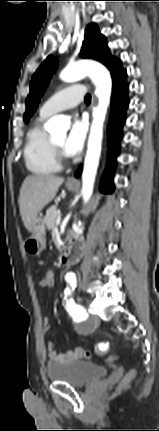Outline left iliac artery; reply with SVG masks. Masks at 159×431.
<instances>
[{
  "label": "left iliac artery",
  "instance_id": "44dca946",
  "mask_svg": "<svg viewBox=\"0 0 159 431\" xmlns=\"http://www.w3.org/2000/svg\"><path fill=\"white\" fill-rule=\"evenodd\" d=\"M68 283L70 284L71 288H67L65 290V298L72 295L75 287H76V279H68ZM65 308L68 311V313L75 319V320H84L87 318L88 314L86 313V310L83 308V306L75 303V301L72 298H69L66 300Z\"/></svg>",
  "mask_w": 159,
  "mask_h": 431
}]
</instances>
